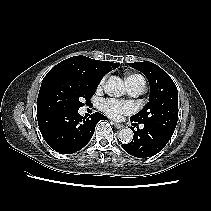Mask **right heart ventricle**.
Here are the masks:
<instances>
[{"mask_svg": "<svg viewBox=\"0 0 211 211\" xmlns=\"http://www.w3.org/2000/svg\"><path fill=\"white\" fill-rule=\"evenodd\" d=\"M134 81H144V78L141 76V75H138V74H133V75H129L126 77V83L127 85L131 82H134Z\"/></svg>", "mask_w": 211, "mask_h": 211, "instance_id": "obj_1", "label": "right heart ventricle"}]
</instances>
